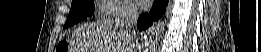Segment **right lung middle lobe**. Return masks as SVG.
Returning <instances> with one entry per match:
<instances>
[{
	"label": "right lung middle lobe",
	"instance_id": "obj_1",
	"mask_svg": "<svg viewBox=\"0 0 261 52\" xmlns=\"http://www.w3.org/2000/svg\"><path fill=\"white\" fill-rule=\"evenodd\" d=\"M94 9V0H72L70 13L64 28H68L85 19Z\"/></svg>",
	"mask_w": 261,
	"mask_h": 52
}]
</instances>
